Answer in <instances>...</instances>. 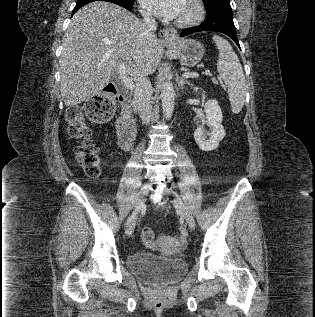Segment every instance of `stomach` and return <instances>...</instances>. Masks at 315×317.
Segmentation results:
<instances>
[{
  "label": "stomach",
  "mask_w": 315,
  "mask_h": 317,
  "mask_svg": "<svg viewBox=\"0 0 315 317\" xmlns=\"http://www.w3.org/2000/svg\"><path fill=\"white\" fill-rule=\"evenodd\" d=\"M164 45L175 59L187 67L198 64L204 55L203 45L194 39L176 37L172 41H165Z\"/></svg>",
  "instance_id": "1"
}]
</instances>
